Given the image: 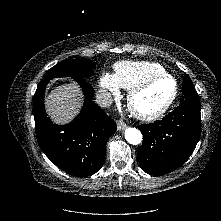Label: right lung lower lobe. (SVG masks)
<instances>
[{
	"instance_id": "obj_1",
	"label": "right lung lower lobe",
	"mask_w": 221,
	"mask_h": 221,
	"mask_svg": "<svg viewBox=\"0 0 221 221\" xmlns=\"http://www.w3.org/2000/svg\"><path fill=\"white\" fill-rule=\"evenodd\" d=\"M76 81L84 91L81 113L67 125H55L46 116L44 91L48 83L41 81L33 99L35 130L39 146L57 167L65 172L84 177L96 173L105 158L106 144L117 126L101 107L92 101L94 91L84 79Z\"/></svg>"
}]
</instances>
